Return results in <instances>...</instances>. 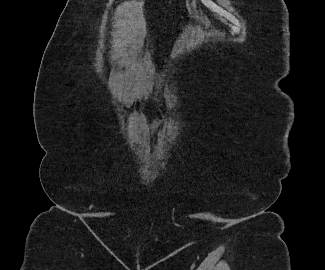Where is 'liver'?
<instances>
[{
	"label": "liver",
	"instance_id": "1",
	"mask_svg": "<svg viewBox=\"0 0 325 270\" xmlns=\"http://www.w3.org/2000/svg\"><path fill=\"white\" fill-rule=\"evenodd\" d=\"M113 26L121 29L119 33L123 38L120 41L118 35H115L112 40V54L119 46L118 63L122 64L136 59L143 46L146 33L140 5L131 4L117 10L114 15Z\"/></svg>",
	"mask_w": 325,
	"mask_h": 270
}]
</instances>
